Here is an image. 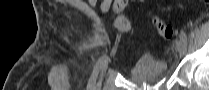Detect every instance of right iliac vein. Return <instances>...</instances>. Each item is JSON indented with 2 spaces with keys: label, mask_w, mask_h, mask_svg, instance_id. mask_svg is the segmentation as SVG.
Here are the masks:
<instances>
[{
  "label": "right iliac vein",
  "mask_w": 209,
  "mask_h": 90,
  "mask_svg": "<svg viewBox=\"0 0 209 90\" xmlns=\"http://www.w3.org/2000/svg\"><path fill=\"white\" fill-rule=\"evenodd\" d=\"M107 65H108V61L106 60V61L102 64V66H101V77H102L103 71L106 69ZM101 77H100V79H99V81H98V83H97V85H96L95 90H99V89H100V86H101Z\"/></svg>",
  "instance_id": "obj_1"
}]
</instances>
